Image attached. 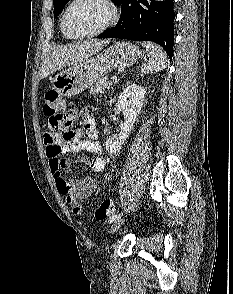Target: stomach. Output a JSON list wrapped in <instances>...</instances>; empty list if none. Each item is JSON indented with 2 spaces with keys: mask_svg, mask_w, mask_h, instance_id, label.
Here are the masks:
<instances>
[{
  "mask_svg": "<svg viewBox=\"0 0 233 294\" xmlns=\"http://www.w3.org/2000/svg\"><path fill=\"white\" fill-rule=\"evenodd\" d=\"M141 56L142 52L137 45L116 42L100 54L58 73L52 80V87L64 97L80 94L107 73L131 66Z\"/></svg>",
  "mask_w": 233,
  "mask_h": 294,
  "instance_id": "0dacf381",
  "label": "stomach"
}]
</instances>
